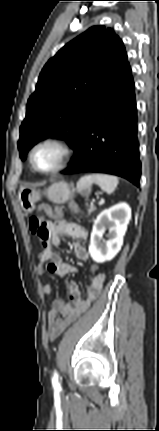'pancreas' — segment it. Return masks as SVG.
<instances>
[{
	"instance_id": "1",
	"label": "pancreas",
	"mask_w": 159,
	"mask_h": 431,
	"mask_svg": "<svg viewBox=\"0 0 159 431\" xmlns=\"http://www.w3.org/2000/svg\"><path fill=\"white\" fill-rule=\"evenodd\" d=\"M95 210L96 208L94 206H90L88 209V216H90Z\"/></svg>"
}]
</instances>
